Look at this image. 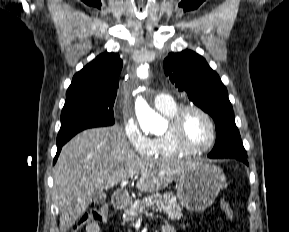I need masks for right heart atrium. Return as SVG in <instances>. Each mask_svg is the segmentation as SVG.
Instances as JSON below:
<instances>
[{"label": "right heart atrium", "instance_id": "right-heart-atrium-1", "mask_svg": "<svg viewBox=\"0 0 289 232\" xmlns=\"http://www.w3.org/2000/svg\"><path fill=\"white\" fill-rule=\"evenodd\" d=\"M122 129L133 151L143 156H149L151 154L153 141L141 130L134 117L125 114L122 121Z\"/></svg>", "mask_w": 289, "mask_h": 232}]
</instances>
